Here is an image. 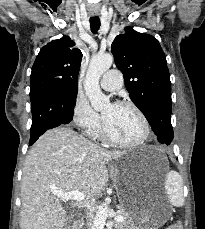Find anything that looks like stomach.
<instances>
[{"instance_id": "obj_1", "label": "stomach", "mask_w": 205, "mask_h": 229, "mask_svg": "<svg viewBox=\"0 0 205 229\" xmlns=\"http://www.w3.org/2000/svg\"><path fill=\"white\" fill-rule=\"evenodd\" d=\"M149 146L125 153L111 167V177L117 187L122 206L136 229H158L167 221L169 213L159 203L141 194L145 161L153 153Z\"/></svg>"}]
</instances>
